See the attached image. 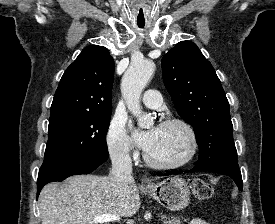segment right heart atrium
Instances as JSON below:
<instances>
[{"instance_id":"1","label":"right heart atrium","mask_w":275,"mask_h":224,"mask_svg":"<svg viewBox=\"0 0 275 224\" xmlns=\"http://www.w3.org/2000/svg\"><path fill=\"white\" fill-rule=\"evenodd\" d=\"M107 146L110 154L119 159H131L134 155L127 133L126 121L115 116L107 133Z\"/></svg>"}]
</instances>
